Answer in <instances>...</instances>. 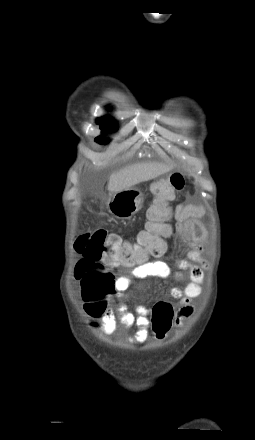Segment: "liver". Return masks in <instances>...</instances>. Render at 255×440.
I'll return each mask as SVG.
<instances>
[{"label": "liver", "mask_w": 255, "mask_h": 440, "mask_svg": "<svg viewBox=\"0 0 255 440\" xmlns=\"http://www.w3.org/2000/svg\"><path fill=\"white\" fill-rule=\"evenodd\" d=\"M171 170L163 163L147 162L130 165L113 173L108 183V191L117 193L141 182L149 181Z\"/></svg>", "instance_id": "6515ba94"}]
</instances>
